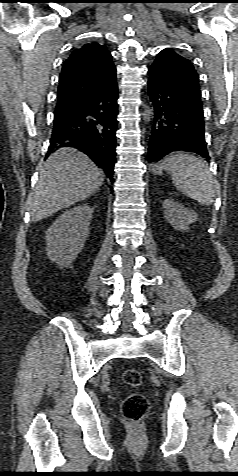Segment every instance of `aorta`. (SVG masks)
I'll return each instance as SVG.
<instances>
[{
    "instance_id": "obj_1",
    "label": "aorta",
    "mask_w": 238,
    "mask_h": 476,
    "mask_svg": "<svg viewBox=\"0 0 238 476\" xmlns=\"http://www.w3.org/2000/svg\"><path fill=\"white\" fill-rule=\"evenodd\" d=\"M152 114H153V110L149 106H145V110L143 113V119L145 123H149V121L151 120Z\"/></svg>"
}]
</instances>
